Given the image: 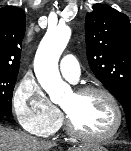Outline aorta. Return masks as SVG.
Here are the masks:
<instances>
[{
	"mask_svg": "<svg viewBox=\"0 0 131 151\" xmlns=\"http://www.w3.org/2000/svg\"><path fill=\"white\" fill-rule=\"evenodd\" d=\"M70 35L71 31L65 25L49 29L35 55V74L52 101H58L65 88L58 70V61L70 39Z\"/></svg>",
	"mask_w": 131,
	"mask_h": 151,
	"instance_id": "obj_1",
	"label": "aorta"
}]
</instances>
